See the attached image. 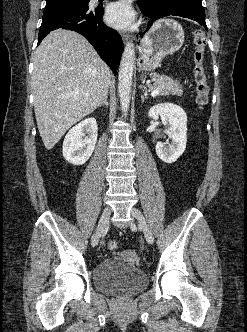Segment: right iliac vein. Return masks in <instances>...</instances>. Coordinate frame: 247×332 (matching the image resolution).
Returning a JSON list of instances; mask_svg holds the SVG:
<instances>
[{"label":"right iliac vein","mask_w":247,"mask_h":332,"mask_svg":"<svg viewBox=\"0 0 247 332\" xmlns=\"http://www.w3.org/2000/svg\"><path fill=\"white\" fill-rule=\"evenodd\" d=\"M110 215H111V209L109 207H106L104 209L101 217H100L97 230H96V232L94 233V235L91 238V245L93 247H95L98 244L99 239H100L102 233L106 229V227L108 225V222H109Z\"/></svg>","instance_id":"63e3f726"}]
</instances>
